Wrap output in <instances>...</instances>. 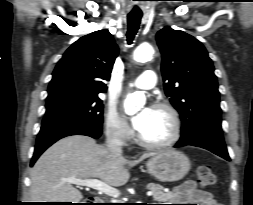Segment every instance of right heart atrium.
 I'll return each mask as SVG.
<instances>
[{
	"instance_id": "1",
	"label": "right heart atrium",
	"mask_w": 253,
	"mask_h": 205,
	"mask_svg": "<svg viewBox=\"0 0 253 205\" xmlns=\"http://www.w3.org/2000/svg\"><path fill=\"white\" fill-rule=\"evenodd\" d=\"M104 127L107 136L120 143L126 142L132 133L127 120L113 108L105 113Z\"/></svg>"
}]
</instances>
